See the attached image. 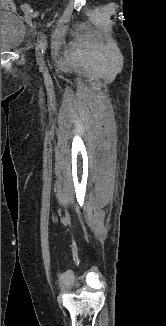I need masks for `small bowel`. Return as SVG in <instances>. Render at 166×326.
<instances>
[{"instance_id": "obj_1", "label": "small bowel", "mask_w": 166, "mask_h": 326, "mask_svg": "<svg viewBox=\"0 0 166 326\" xmlns=\"http://www.w3.org/2000/svg\"><path fill=\"white\" fill-rule=\"evenodd\" d=\"M8 9L13 12L17 11V7L15 6V3L13 0H1V9Z\"/></svg>"}]
</instances>
